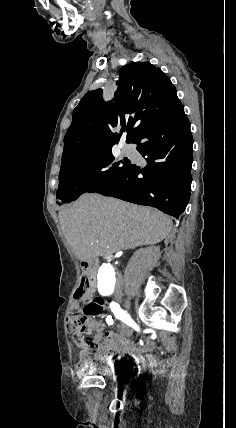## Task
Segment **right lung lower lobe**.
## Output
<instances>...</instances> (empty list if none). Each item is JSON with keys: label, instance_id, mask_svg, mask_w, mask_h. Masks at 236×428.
Returning a JSON list of instances; mask_svg holds the SVG:
<instances>
[{"label": "right lung lower lobe", "instance_id": "98d812e1", "mask_svg": "<svg viewBox=\"0 0 236 428\" xmlns=\"http://www.w3.org/2000/svg\"><path fill=\"white\" fill-rule=\"evenodd\" d=\"M131 143L138 144L147 166L130 163L97 193L152 206L178 218L188 204L192 181L193 139L184 106L144 127Z\"/></svg>", "mask_w": 236, "mask_h": 428}]
</instances>
